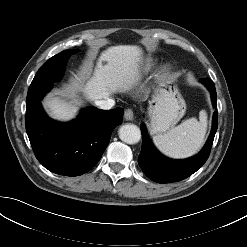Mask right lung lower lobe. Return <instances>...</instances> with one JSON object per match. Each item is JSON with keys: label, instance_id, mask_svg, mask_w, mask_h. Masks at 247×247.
<instances>
[{"label": "right lung lower lobe", "instance_id": "1", "mask_svg": "<svg viewBox=\"0 0 247 247\" xmlns=\"http://www.w3.org/2000/svg\"><path fill=\"white\" fill-rule=\"evenodd\" d=\"M52 82L30 86L26 100V131L38 161L49 171L78 176L91 170L105 151L112 131L123 121V109H83L69 123L51 120L41 100Z\"/></svg>", "mask_w": 247, "mask_h": 247}]
</instances>
